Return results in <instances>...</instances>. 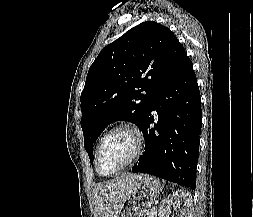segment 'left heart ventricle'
<instances>
[{
	"label": "left heart ventricle",
	"instance_id": "1",
	"mask_svg": "<svg viewBox=\"0 0 253 217\" xmlns=\"http://www.w3.org/2000/svg\"><path fill=\"white\" fill-rule=\"evenodd\" d=\"M134 151L132 137L123 131L116 132L103 143L99 153V169L110 174L128 161Z\"/></svg>",
	"mask_w": 253,
	"mask_h": 217
}]
</instances>
